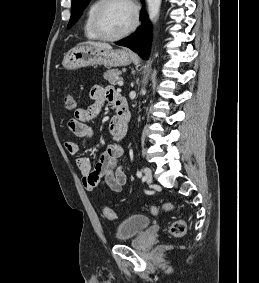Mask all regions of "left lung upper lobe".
<instances>
[{
  "instance_id": "obj_1",
  "label": "left lung upper lobe",
  "mask_w": 259,
  "mask_h": 283,
  "mask_svg": "<svg viewBox=\"0 0 259 283\" xmlns=\"http://www.w3.org/2000/svg\"><path fill=\"white\" fill-rule=\"evenodd\" d=\"M90 0H72L71 18L67 28H70L81 16L82 11Z\"/></svg>"
}]
</instances>
